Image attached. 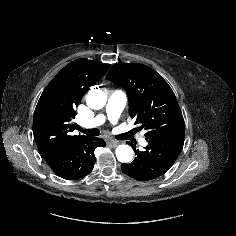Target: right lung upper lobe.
Instances as JSON below:
<instances>
[{"label": "right lung upper lobe", "instance_id": "1", "mask_svg": "<svg viewBox=\"0 0 236 236\" xmlns=\"http://www.w3.org/2000/svg\"><path fill=\"white\" fill-rule=\"evenodd\" d=\"M109 64L77 59L66 65L44 89L35 109L33 134L39 151L68 147L87 137L72 135L75 108Z\"/></svg>", "mask_w": 236, "mask_h": 236}]
</instances>
